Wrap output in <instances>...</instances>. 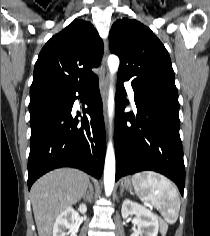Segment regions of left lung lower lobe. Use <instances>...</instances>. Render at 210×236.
Returning <instances> with one entry per match:
<instances>
[{
  "mask_svg": "<svg viewBox=\"0 0 210 236\" xmlns=\"http://www.w3.org/2000/svg\"><path fill=\"white\" fill-rule=\"evenodd\" d=\"M115 97L116 181L122 176L152 170L173 180L183 195L185 166L179 136L178 97L137 94V116L122 113L125 89L118 79Z\"/></svg>",
  "mask_w": 210,
  "mask_h": 236,
  "instance_id": "left-lung-lower-lobe-1",
  "label": "left lung lower lobe"
}]
</instances>
